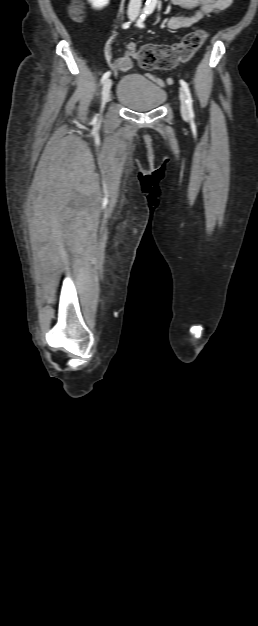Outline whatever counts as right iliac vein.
Returning <instances> with one entry per match:
<instances>
[{"mask_svg":"<svg viewBox=\"0 0 258 626\" xmlns=\"http://www.w3.org/2000/svg\"><path fill=\"white\" fill-rule=\"evenodd\" d=\"M111 86H112V80L106 79L103 85V89H102V105H101L102 109L104 108L105 104L109 100Z\"/></svg>","mask_w":258,"mask_h":626,"instance_id":"obj_1","label":"right iliac vein"}]
</instances>
